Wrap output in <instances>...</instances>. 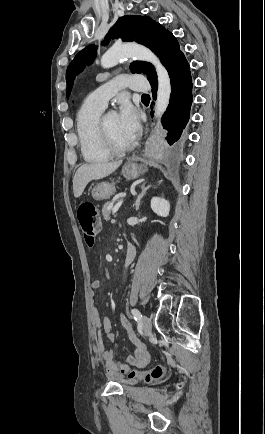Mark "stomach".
<instances>
[{"mask_svg":"<svg viewBox=\"0 0 265 434\" xmlns=\"http://www.w3.org/2000/svg\"><path fill=\"white\" fill-rule=\"evenodd\" d=\"M144 172H146V168L143 164H132V162H128V164H125L122 168V174L126 180H136V178H139ZM115 192L114 184L101 182V184H97V186L92 188L91 194L94 200H109L110 196H113Z\"/></svg>","mask_w":265,"mask_h":434,"instance_id":"1","label":"stomach"}]
</instances>
